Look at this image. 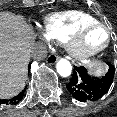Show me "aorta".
Segmentation results:
<instances>
[{
  "mask_svg": "<svg viewBox=\"0 0 117 117\" xmlns=\"http://www.w3.org/2000/svg\"><path fill=\"white\" fill-rule=\"evenodd\" d=\"M56 69L62 77H68L72 72L71 63L66 59H60L56 64Z\"/></svg>",
  "mask_w": 117,
  "mask_h": 117,
  "instance_id": "762f6f07",
  "label": "aorta"
}]
</instances>
